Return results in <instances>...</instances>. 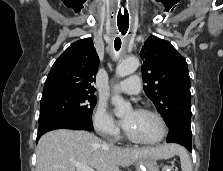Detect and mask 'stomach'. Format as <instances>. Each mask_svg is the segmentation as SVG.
Instances as JSON below:
<instances>
[{
	"label": "stomach",
	"instance_id": "obj_1",
	"mask_svg": "<svg viewBox=\"0 0 223 171\" xmlns=\"http://www.w3.org/2000/svg\"><path fill=\"white\" fill-rule=\"evenodd\" d=\"M136 171H159L156 159L143 158L136 163Z\"/></svg>",
	"mask_w": 223,
	"mask_h": 171
}]
</instances>
